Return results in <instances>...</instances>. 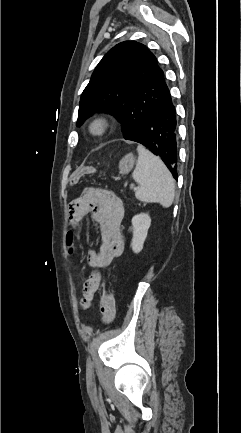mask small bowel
<instances>
[{
    "instance_id": "small-bowel-1",
    "label": "small bowel",
    "mask_w": 241,
    "mask_h": 433,
    "mask_svg": "<svg viewBox=\"0 0 241 433\" xmlns=\"http://www.w3.org/2000/svg\"><path fill=\"white\" fill-rule=\"evenodd\" d=\"M90 213L98 224L102 243L98 251L87 254V263L94 270L83 286L82 309H88L95 298L97 289L88 286L92 275L108 267L115 258L124 252L125 239L122 232V221L125 209L122 200L113 192L99 188H85L80 197L73 200L69 207V227L78 228L80 220ZM69 240L73 238L68 237Z\"/></svg>"
}]
</instances>
